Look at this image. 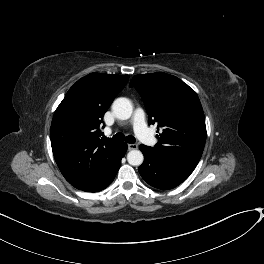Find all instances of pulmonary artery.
Returning a JSON list of instances; mask_svg holds the SVG:
<instances>
[{
  "label": "pulmonary artery",
  "instance_id": "e3ab8cb5",
  "mask_svg": "<svg viewBox=\"0 0 264 264\" xmlns=\"http://www.w3.org/2000/svg\"><path fill=\"white\" fill-rule=\"evenodd\" d=\"M134 128V132L139 139L146 145H152L155 141L153 133L146 127L145 116L142 109H135L130 121ZM111 132V129H108Z\"/></svg>",
  "mask_w": 264,
  "mask_h": 264
}]
</instances>
